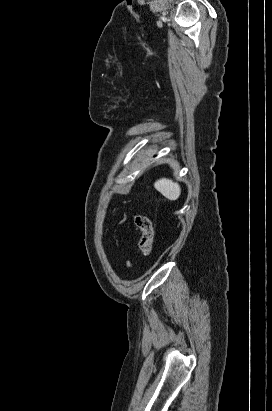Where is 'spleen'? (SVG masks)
<instances>
[{
  "mask_svg": "<svg viewBox=\"0 0 272 411\" xmlns=\"http://www.w3.org/2000/svg\"><path fill=\"white\" fill-rule=\"evenodd\" d=\"M155 189L164 197L171 201H175L181 194V188L178 183L173 182L168 178H161L154 183Z\"/></svg>",
  "mask_w": 272,
  "mask_h": 411,
  "instance_id": "3e777b00",
  "label": "spleen"
}]
</instances>
